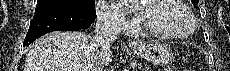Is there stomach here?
I'll return each mask as SVG.
<instances>
[{
    "label": "stomach",
    "mask_w": 230,
    "mask_h": 71,
    "mask_svg": "<svg viewBox=\"0 0 230 71\" xmlns=\"http://www.w3.org/2000/svg\"><path fill=\"white\" fill-rule=\"evenodd\" d=\"M129 50L155 65H167L173 60L170 48L164 44H146L139 49L131 48Z\"/></svg>",
    "instance_id": "1"
}]
</instances>
